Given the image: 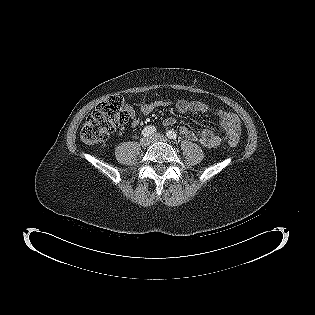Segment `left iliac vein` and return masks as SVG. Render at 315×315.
Masks as SVG:
<instances>
[{"label":"left iliac vein","mask_w":315,"mask_h":315,"mask_svg":"<svg viewBox=\"0 0 315 315\" xmlns=\"http://www.w3.org/2000/svg\"><path fill=\"white\" fill-rule=\"evenodd\" d=\"M151 142H167V138L162 134H155L150 137Z\"/></svg>","instance_id":"obj_1"}]
</instances>
